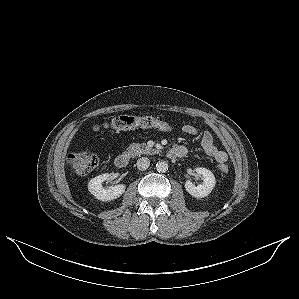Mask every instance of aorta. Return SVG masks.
I'll return each instance as SVG.
<instances>
[{
    "label": "aorta",
    "mask_w": 299,
    "mask_h": 299,
    "mask_svg": "<svg viewBox=\"0 0 299 299\" xmlns=\"http://www.w3.org/2000/svg\"><path fill=\"white\" fill-rule=\"evenodd\" d=\"M156 169L158 172L165 173L168 170V164L165 161H159L156 164Z\"/></svg>",
    "instance_id": "762f6f07"
}]
</instances>
